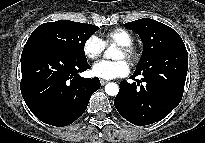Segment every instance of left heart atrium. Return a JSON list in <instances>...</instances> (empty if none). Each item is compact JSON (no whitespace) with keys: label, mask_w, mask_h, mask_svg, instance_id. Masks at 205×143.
Here are the masks:
<instances>
[{"label":"left heart atrium","mask_w":205,"mask_h":143,"mask_svg":"<svg viewBox=\"0 0 205 143\" xmlns=\"http://www.w3.org/2000/svg\"><path fill=\"white\" fill-rule=\"evenodd\" d=\"M129 72V65L124 59L114 61L101 60L92 67L94 76L102 79L123 77Z\"/></svg>","instance_id":"obj_1"}]
</instances>
